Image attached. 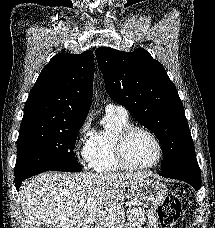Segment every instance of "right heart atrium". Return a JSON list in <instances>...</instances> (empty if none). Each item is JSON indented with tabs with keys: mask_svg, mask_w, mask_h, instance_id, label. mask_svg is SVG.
<instances>
[{
	"mask_svg": "<svg viewBox=\"0 0 215 228\" xmlns=\"http://www.w3.org/2000/svg\"><path fill=\"white\" fill-rule=\"evenodd\" d=\"M89 128H90V121L86 120L81 124V126L78 130V134L83 135L84 133H86L89 130Z\"/></svg>",
	"mask_w": 215,
	"mask_h": 228,
	"instance_id": "1",
	"label": "right heart atrium"
}]
</instances>
